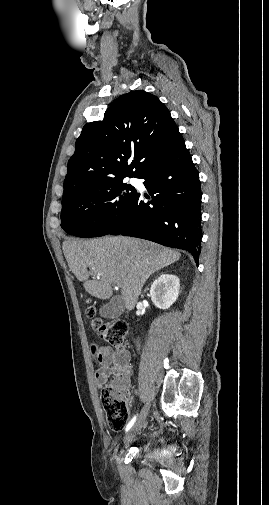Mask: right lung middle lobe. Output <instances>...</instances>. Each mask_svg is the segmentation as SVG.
Returning <instances> with one entry per match:
<instances>
[{
  "label": "right lung middle lobe",
  "instance_id": "right-lung-middle-lobe-1",
  "mask_svg": "<svg viewBox=\"0 0 269 505\" xmlns=\"http://www.w3.org/2000/svg\"><path fill=\"white\" fill-rule=\"evenodd\" d=\"M124 179L85 189L62 201L61 227L70 235L99 237L113 230L137 191Z\"/></svg>",
  "mask_w": 269,
  "mask_h": 505
}]
</instances>
